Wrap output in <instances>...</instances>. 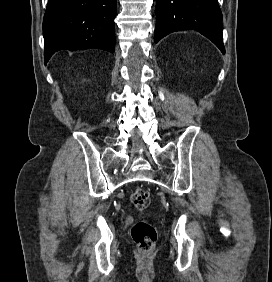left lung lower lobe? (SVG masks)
I'll list each match as a JSON object with an SVG mask.
<instances>
[{"instance_id":"obj_1","label":"left lung lower lobe","mask_w":272,"mask_h":282,"mask_svg":"<svg viewBox=\"0 0 272 282\" xmlns=\"http://www.w3.org/2000/svg\"><path fill=\"white\" fill-rule=\"evenodd\" d=\"M221 21L217 0H156L154 40L157 43L171 32L194 29L225 54Z\"/></svg>"}]
</instances>
